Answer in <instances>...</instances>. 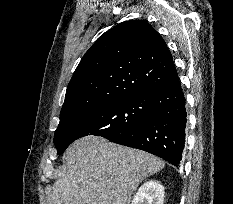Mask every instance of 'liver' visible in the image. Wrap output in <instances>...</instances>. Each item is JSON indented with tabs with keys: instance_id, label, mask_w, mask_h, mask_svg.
<instances>
[{
	"instance_id": "1",
	"label": "liver",
	"mask_w": 233,
	"mask_h": 204,
	"mask_svg": "<svg viewBox=\"0 0 233 204\" xmlns=\"http://www.w3.org/2000/svg\"><path fill=\"white\" fill-rule=\"evenodd\" d=\"M65 160L49 204H129L139 184L165 166L150 153L93 135L72 143Z\"/></svg>"
}]
</instances>
